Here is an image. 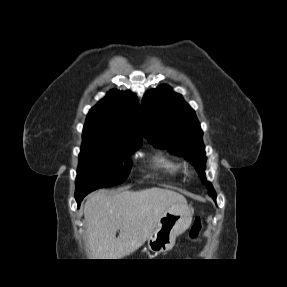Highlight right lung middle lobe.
I'll return each instance as SVG.
<instances>
[{"mask_svg": "<svg viewBox=\"0 0 287 287\" xmlns=\"http://www.w3.org/2000/svg\"><path fill=\"white\" fill-rule=\"evenodd\" d=\"M139 143L103 141L83 137L75 196L124 182L131 168L130 156Z\"/></svg>", "mask_w": 287, "mask_h": 287, "instance_id": "obj_1", "label": "right lung middle lobe"}]
</instances>
